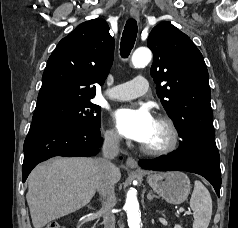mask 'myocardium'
<instances>
[{
  "label": "myocardium",
  "instance_id": "myocardium-1",
  "mask_svg": "<svg viewBox=\"0 0 238 228\" xmlns=\"http://www.w3.org/2000/svg\"><path fill=\"white\" fill-rule=\"evenodd\" d=\"M156 122L163 125L168 133L167 142L160 147H149L144 144L140 146L143 153L150 156H162L173 152L179 143V133L174 122L167 116L159 115L156 118Z\"/></svg>",
  "mask_w": 238,
  "mask_h": 228
}]
</instances>
